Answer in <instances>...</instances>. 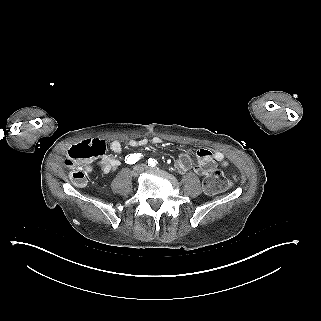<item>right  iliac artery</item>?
<instances>
[{
	"instance_id": "obj_1",
	"label": "right iliac artery",
	"mask_w": 321,
	"mask_h": 321,
	"mask_svg": "<svg viewBox=\"0 0 321 321\" xmlns=\"http://www.w3.org/2000/svg\"><path fill=\"white\" fill-rule=\"evenodd\" d=\"M141 157V154L138 153V154H129L125 157V162L127 164H135Z\"/></svg>"
}]
</instances>
